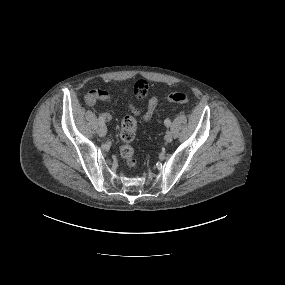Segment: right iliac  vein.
Listing matches in <instances>:
<instances>
[{
  "label": "right iliac vein",
  "mask_w": 285,
  "mask_h": 285,
  "mask_svg": "<svg viewBox=\"0 0 285 285\" xmlns=\"http://www.w3.org/2000/svg\"><path fill=\"white\" fill-rule=\"evenodd\" d=\"M98 134L101 136V137H104L107 133V128L105 125H100L98 130H97Z\"/></svg>",
  "instance_id": "right-iliac-vein-1"
}]
</instances>
